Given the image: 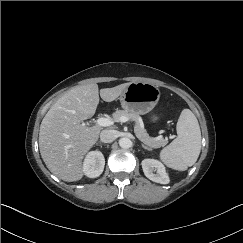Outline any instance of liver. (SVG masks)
<instances>
[{
    "label": "liver",
    "mask_w": 243,
    "mask_h": 243,
    "mask_svg": "<svg viewBox=\"0 0 243 243\" xmlns=\"http://www.w3.org/2000/svg\"><path fill=\"white\" fill-rule=\"evenodd\" d=\"M129 83L99 91L96 83L76 86L64 93L43 118L39 131V149L47 168L66 182L83 177L82 161L99 138L100 126L81 123L91 118L99 104L116 100Z\"/></svg>",
    "instance_id": "obj_1"
}]
</instances>
